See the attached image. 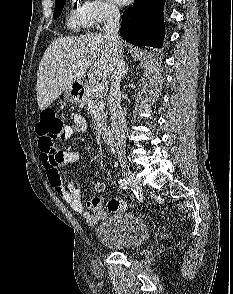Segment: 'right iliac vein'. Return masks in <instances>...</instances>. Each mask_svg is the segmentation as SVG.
Instances as JSON below:
<instances>
[{"label": "right iliac vein", "mask_w": 233, "mask_h": 294, "mask_svg": "<svg viewBox=\"0 0 233 294\" xmlns=\"http://www.w3.org/2000/svg\"><path fill=\"white\" fill-rule=\"evenodd\" d=\"M123 175L129 182V185L134 189V190H141V186L137 182L133 172L126 166L123 167Z\"/></svg>", "instance_id": "63e3f726"}]
</instances>
